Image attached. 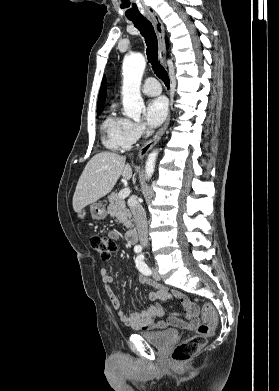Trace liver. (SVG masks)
Wrapping results in <instances>:
<instances>
[{"instance_id": "1", "label": "liver", "mask_w": 279, "mask_h": 391, "mask_svg": "<svg viewBox=\"0 0 279 391\" xmlns=\"http://www.w3.org/2000/svg\"><path fill=\"white\" fill-rule=\"evenodd\" d=\"M126 158L112 152H100L86 164L73 195V209L80 211L107 195L120 176L129 180L132 168Z\"/></svg>"}]
</instances>
